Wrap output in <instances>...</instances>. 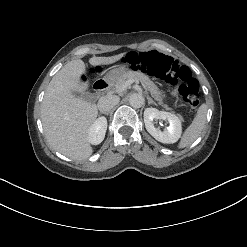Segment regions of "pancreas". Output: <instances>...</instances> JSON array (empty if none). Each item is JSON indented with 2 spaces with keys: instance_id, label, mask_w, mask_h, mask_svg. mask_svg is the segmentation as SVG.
I'll return each instance as SVG.
<instances>
[{
  "instance_id": "1",
  "label": "pancreas",
  "mask_w": 247,
  "mask_h": 247,
  "mask_svg": "<svg viewBox=\"0 0 247 247\" xmlns=\"http://www.w3.org/2000/svg\"><path fill=\"white\" fill-rule=\"evenodd\" d=\"M133 79V80H139L145 87L148 89V91L151 93V95L158 101L160 105H162L165 109L170 110V108L167 105L163 104V94L158 89L157 85L154 84L153 81L150 80V78L142 73H137L133 71H128L121 75V77L118 79L117 83L115 84V89L117 90L119 87H121L127 80ZM180 120H183L181 115H178Z\"/></svg>"
}]
</instances>
